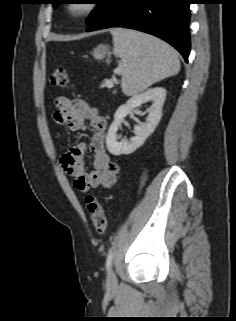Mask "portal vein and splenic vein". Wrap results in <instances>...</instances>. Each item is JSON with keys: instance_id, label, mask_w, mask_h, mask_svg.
I'll return each mask as SVG.
<instances>
[{"instance_id": "1", "label": "portal vein and splenic vein", "mask_w": 236, "mask_h": 321, "mask_svg": "<svg viewBox=\"0 0 236 321\" xmlns=\"http://www.w3.org/2000/svg\"><path fill=\"white\" fill-rule=\"evenodd\" d=\"M106 86H107V87H111V86H113V84H112L111 81H106Z\"/></svg>"}]
</instances>
